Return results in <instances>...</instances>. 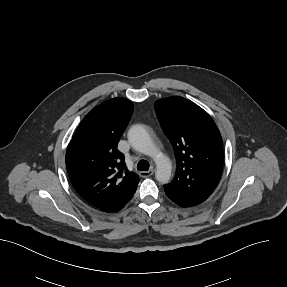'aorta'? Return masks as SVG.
Segmentation results:
<instances>
[{
  "label": "aorta",
  "instance_id": "762f6f07",
  "mask_svg": "<svg viewBox=\"0 0 287 287\" xmlns=\"http://www.w3.org/2000/svg\"><path fill=\"white\" fill-rule=\"evenodd\" d=\"M128 140L135 150L153 157L156 163V180L163 184L168 183L172 165L168 158L158 151L146 129L139 124L132 126L128 131Z\"/></svg>",
  "mask_w": 287,
  "mask_h": 287
}]
</instances>
